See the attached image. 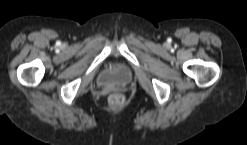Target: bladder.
Wrapping results in <instances>:
<instances>
[{
  "mask_svg": "<svg viewBox=\"0 0 247 145\" xmlns=\"http://www.w3.org/2000/svg\"><path fill=\"white\" fill-rule=\"evenodd\" d=\"M130 81V78L128 75H118V80L117 81H109L103 84V86L106 85H118V86H123L128 84Z\"/></svg>",
  "mask_w": 247,
  "mask_h": 145,
  "instance_id": "bladder-1",
  "label": "bladder"
}]
</instances>
